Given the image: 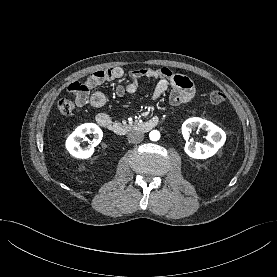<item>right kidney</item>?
I'll list each match as a JSON object with an SVG mask.
<instances>
[{
  "label": "right kidney",
  "mask_w": 277,
  "mask_h": 277,
  "mask_svg": "<svg viewBox=\"0 0 277 277\" xmlns=\"http://www.w3.org/2000/svg\"><path fill=\"white\" fill-rule=\"evenodd\" d=\"M86 134L94 136V146L98 145L103 137L102 130L94 123H85L78 126L66 140V149L72 156L80 159H88L92 156L94 152L93 146L88 148L80 147L79 139L85 138Z\"/></svg>",
  "instance_id": "ca27d5eb"
}]
</instances>
